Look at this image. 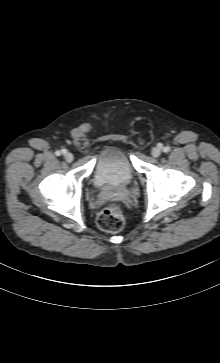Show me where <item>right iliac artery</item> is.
Wrapping results in <instances>:
<instances>
[{
	"label": "right iliac artery",
	"mask_w": 220,
	"mask_h": 363,
	"mask_svg": "<svg viewBox=\"0 0 220 363\" xmlns=\"http://www.w3.org/2000/svg\"><path fill=\"white\" fill-rule=\"evenodd\" d=\"M66 151H67L66 149H62L61 151H56V152H55V154H56V156H60V155H61V153H62V154H65V153H66Z\"/></svg>",
	"instance_id": "obj_1"
}]
</instances>
